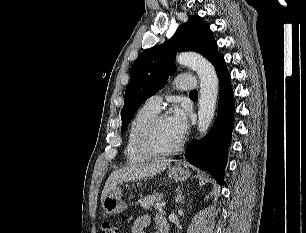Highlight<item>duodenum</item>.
<instances>
[{
    "mask_svg": "<svg viewBox=\"0 0 306 233\" xmlns=\"http://www.w3.org/2000/svg\"><path fill=\"white\" fill-rule=\"evenodd\" d=\"M159 233H168V225H163L159 228Z\"/></svg>",
    "mask_w": 306,
    "mask_h": 233,
    "instance_id": "410a0bca",
    "label": "duodenum"
}]
</instances>
